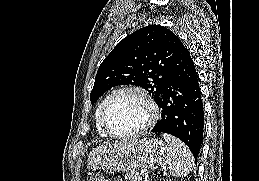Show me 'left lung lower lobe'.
<instances>
[{
  "label": "left lung lower lobe",
  "mask_w": 259,
  "mask_h": 181,
  "mask_svg": "<svg viewBox=\"0 0 259 181\" xmlns=\"http://www.w3.org/2000/svg\"><path fill=\"white\" fill-rule=\"evenodd\" d=\"M174 56L173 72L156 101L162 109L161 119L151 131L179 138L197 159L204 128L198 75L188 50L179 39L176 41Z\"/></svg>",
  "instance_id": "left-lung-lower-lobe-1"
}]
</instances>
